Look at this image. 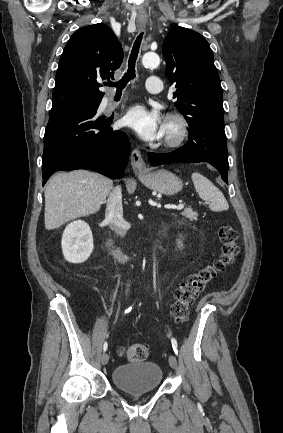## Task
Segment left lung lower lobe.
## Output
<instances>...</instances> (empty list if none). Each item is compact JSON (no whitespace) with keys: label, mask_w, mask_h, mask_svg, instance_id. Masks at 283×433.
<instances>
[{"label":"left lung lower lobe","mask_w":283,"mask_h":433,"mask_svg":"<svg viewBox=\"0 0 283 433\" xmlns=\"http://www.w3.org/2000/svg\"><path fill=\"white\" fill-rule=\"evenodd\" d=\"M188 143L170 153H149L148 160L153 166L175 162H208L221 173L228 183L229 169L227 138L224 128L204 124L190 127Z\"/></svg>","instance_id":"1"}]
</instances>
